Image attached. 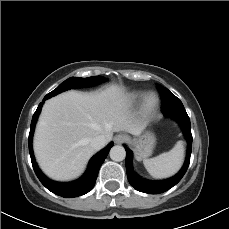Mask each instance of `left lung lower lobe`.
I'll return each mask as SVG.
<instances>
[{
  "mask_svg": "<svg viewBox=\"0 0 229 229\" xmlns=\"http://www.w3.org/2000/svg\"><path fill=\"white\" fill-rule=\"evenodd\" d=\"M164 115L176 119L182 127L183 133L186 137L187 144H188L186 160L182 169L172 178L162 180V181H150V180L143 179L134 173L132 167V152L128 147L125 146L127 177L130 184L140 192L156 194V193H163L169 190L182 179L190 163V156H191V149H192V134H191L190 119L186 111L179 110Z\"/></svg>",
  "mask_w": 229,
  "mask_h": 229,
  "instance_id": "1",
  "label": "left lung lower lobe"
}]
</instances>
